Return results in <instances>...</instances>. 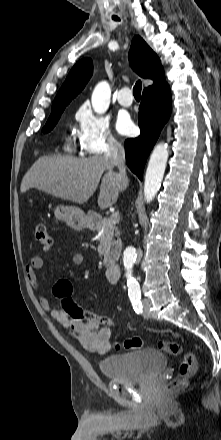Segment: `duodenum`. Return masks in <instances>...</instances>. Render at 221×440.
<instances>
[{"instance_id": "1", "label": "duodenum", "mask_w": 221, "mask_h": 440, "mask_svg": "<svg viewBox=\"0 0 221 440\" xmlns=\"http://www.w3.org/2000/svg\"><path fill=\"white\" fill-rule=\"evenodd\" d=\"M97 217H93L92 221L95 222ZM122 271L119 265L111 263L106 269V276L112 282H118L121 279Z\"/></svg>"}]
</instances>
